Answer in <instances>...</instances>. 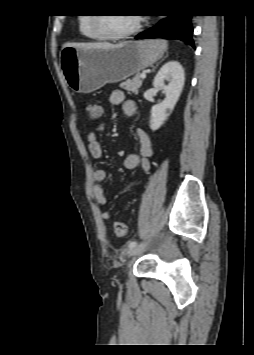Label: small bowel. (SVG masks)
I'll use <instances>...</instances> for the list:
<instances>
[{
    "instance_id": "small-bowel-1",
    "label": "small bowel",
    "mask_w": 254,
    "mask_h": 355,
    "mask_svg": "<svg viewBox=\"0 0 254 355\" xmlns=\"http://www.w3.org/2000/svg\"><path fill=\"white\" fill-rule=\"evenodd\" d=\"M109 102L112 105L121 104L125 114L128 116H132L136 113V103L133 100H126L122 90H113L109 96ZM102 130L103 125H99L90 130L87 136L89 152L95 159H101L103 157V148L99 141V134ZM135 136L139 152L126 156L123 161V166L127 170H134L138 166H141L144 173H149L153 156L151 139L141 128L136 129ZM107 175L108 172L104 168H94L92 170V180L95 183L104 181ZM92 195L97 204L105 205L107 203V193L101 185H93ZM100 216L103 220H109L111 218V214L108 210L101 211Z\"/></svg>"
}]
</instances>
